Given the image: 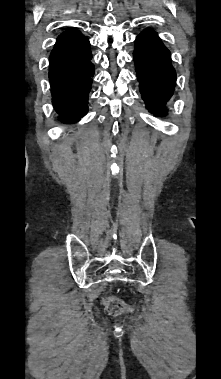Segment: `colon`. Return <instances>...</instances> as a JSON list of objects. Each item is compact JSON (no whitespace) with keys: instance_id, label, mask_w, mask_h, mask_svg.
Listing matches in <instances>:
<instances>
[{"instance_id":"5ec220e1","label":"colon","mask_w":221,"mask_h":379,"mask_svg":"<svg viewBox=\"0 0 221 379\" xmlns=\"http://www.w3.org/2000/svg\"><path fill=\"white\" fill-rule=\"evenodd\" d=\"M104 306L114 316L120 315L127 310L125 302L113 295H108L104 298Z\"/></svg>"}]
</instances>
